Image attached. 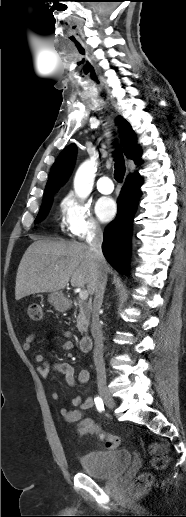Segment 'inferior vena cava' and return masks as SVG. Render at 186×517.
Masks as SVG:
<instances>
[{
    "label": "inferior vena cava",
    "instance_id": "inferior-vena-cava-1",
    "mask_svg": "<svg viewBox=\"0 0 186 517\" xmlns=\"http://www.w3.org/2000/svg\"><path fill=\"white\" fill-rule=\"evenodd\" d=\"M86 241L96 261V276L94 282L95 297L93 301L91 324V334L94 339L93 359L97 372V379L105 380L106 372L103 359V333L99 320V310L103 302V295L107 283V272L104 268L106 261L102 253L103 234L98 225H94Z\"/></svg>",
    "mask_w": 186,
    "mask_h": 517
}]
</instances>
